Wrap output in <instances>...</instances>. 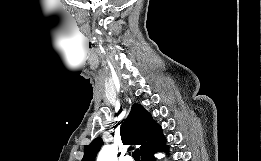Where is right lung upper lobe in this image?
Instances as JSON below:
<instances>
[{"instance_id":"cb5924a9","label":"right lung upper lobe","mask_w":261,"mask_h":161,"mask_svg":"<svg viewBox=\"0 0 261 161\" xmlns=\"http://www.w3.org/2000/svg\"><path fill=\"white\" fill-rule=\"evenodd\" d=\"M121 139L124 144L141 145V157L156 150L165 143L161 127L139 104H133L127 119L122 124ZM103 141L100 137L85 145L82 161H95Z\"/></svg>"}]
</instances>
